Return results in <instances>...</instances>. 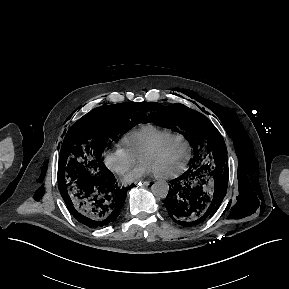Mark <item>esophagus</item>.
Segmentation results:
<instances>
[{
  "instance_id": "34e87169",
  "label": "esophagus",
  "mask_w": 289,
  "mask_h": 289,
  "mask_svg": "<svg viewBox=\"0 0 289 289\" xmlns=\"http://www.w3.org/2000/svg\"><path fill=\"white\" fill-rule=\"evenodd\" d=\"M137 184H138V185H143V186H148V185L150 184V182H149V181H143V180H141V181H139Z\"/></svg>"
}]
</instances>
